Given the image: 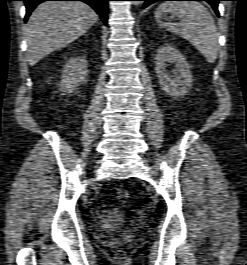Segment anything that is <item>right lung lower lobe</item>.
Returning a JSON list of instances; mask_svg holds the SVG:
<instances>
[{"label": "right lung lower lobe", "instance_id": "obj_1", "mask_svg": "<svg viewBox=\"0 0 247 265\" xmlns=\"http://www.w3.org/2000/svg\"><path fill=\"white\" fill-rule=\"evenodd\" d=\"M26 5L25 21L28 20L34 8L44 1H82L90 5L100 16L101 20L107 24L108 1L110 0H23Z\"/></svg>", "mask_w": 247, "mask_h": 265}]
</instances>
